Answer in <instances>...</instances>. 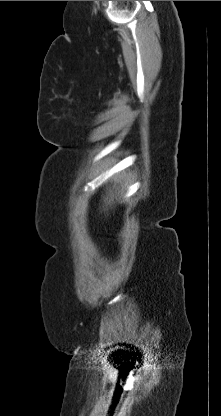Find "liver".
I'll list each match as a JSON object with an SVG mask.
<instances>
[{
	"instance_id": "1",
	"label": "liver",
	"mask_w": 221,
	"mask_h": 416,
	"mask_svg": "<svg viewBox=\"0 0 221 416\" xmlns=\"http://www.w3.org/2000/svg\"><path fill=\"white\" fill-rule=\"evenodd\" d=\"M109 195H110V199H109L108 203H110V202H111V200H112V198H113V196H114V195H113V193H112V191H110V194H109Z\"/></svg>"
}]
</instances>
